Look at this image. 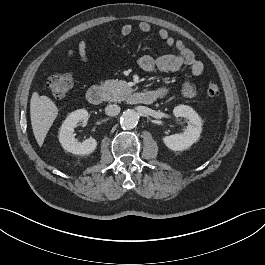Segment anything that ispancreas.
I'll return each mask as SVG.
<instances>
[{
	"instance_id": "1",
	"label": "pancreas",
	"mask_w": 265,
	"mask_h": 265,
	"mask_svg": "<svg viewBox=\"0 0 265 265\" xmlns=\"http://www.w3.org/2000/svg\"><path fill=\"white\" fill-rule=\"evenodd\" d=\"M101 89L105 94V100L109 102L124 101L129 92L125 81L106 80L101 83Z\"/></svg>"
}]
</instances>
